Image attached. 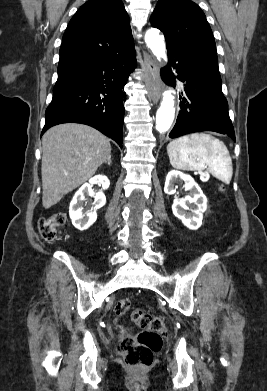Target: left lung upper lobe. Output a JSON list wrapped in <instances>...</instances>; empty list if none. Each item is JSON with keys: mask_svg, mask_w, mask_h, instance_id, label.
<instances>
[{"mask_svg": "<svg viewBox=\"0 0 267 391\" xmlns=\"http://www.w3.org/2000/svg\"><path fill=\"white\" fill-rule=\"evenodd\" d=\"M151 25L165 36L166 46L218 64L211 28L200 7L190 0H159Z\"/></svg>", "mask_w": 267, "mask_h": 391, "instance_id": "left-lung-upper-lobe-1", "label": "left lung upper lobe"}]
</instances>
